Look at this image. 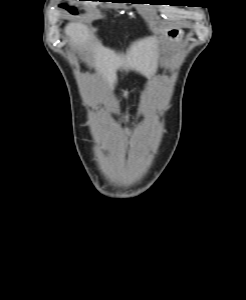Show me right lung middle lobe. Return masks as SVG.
<instances>
[{"instance_id": "right-lung-middle-lobe-1", "label": "right lung middle lobe", "mask_w": 246, "mask_h": 300, "mask_svg": "<svg viewBox=\"0 0 246 300\" xmlns=\"http://www.w3.org/2000/svg\"><path fill=\"white\" fill-rule=\"evenodd\" d=\"M80 1H84V0H80ZM60 6L65 7L71 14H78L74 7H68L66 5H60Z\"/></svg>"}]
</instances>
